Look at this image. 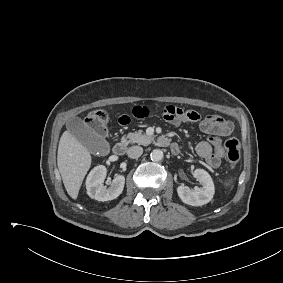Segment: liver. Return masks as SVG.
<instances>
[{
	"label": "liver",
	"instance_id": "liver-1",
	"mask_svg": "<svg viewBox=\"0 0 283 283\" xmlns=\"http://www.w3.org/2000/svg\"><path fill=\"white\" fill-rule=\"evenodd\" d=\"M91 161L89 151L69 131H64L59 141L57 165L65 189L72 199L78 197Z\"/></svg>",
	"mask_w": 283,
	"mask_h": 283
}]
</instances>
